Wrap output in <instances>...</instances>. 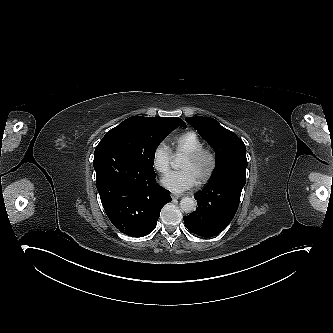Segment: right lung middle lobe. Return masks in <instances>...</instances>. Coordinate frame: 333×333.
<instances>
[{
	"instance_id": "1",
	"label": "right lung middle lobe",
	"mask_w": 333,
	"mask_h": 333,
	"mask_svg": "<svg viewBox=\"0 0 333 333\" xmlns=\"http://www.w3.org/2000/svg\"><path fill=\"white\" fill-rule=\"evenodd\" d=\"M178 126L186 127V125L156 117L132 116L109 130L97 145L95 153L100 145L113 142L125 150L138 164L154 171L156 148Z\"/></svg>"
}]
</instances>
